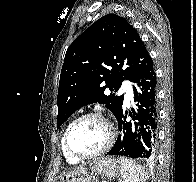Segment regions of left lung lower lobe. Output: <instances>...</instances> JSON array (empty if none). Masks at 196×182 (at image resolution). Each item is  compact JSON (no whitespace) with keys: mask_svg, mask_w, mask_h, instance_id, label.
I'll return each mask as SVG.
<instances>
[{"mask_svg":"<svg viewBox=\"0 0 196 182\" xmlns=\"http://www.w3.org/2000/svg\"><path fill=\"white\" fill-rule=\"evenodd\" d=\"M134 101L136 110L129 112L132 122H127V111L121 108L117 116L122 132L107 155L153 159L156 154L158 127V88L152 59L135 78Z\"/></svg>","mask_w":196,"mask_h":182,"instance_id":"left-lung-lower-lobe-1","label":"left lung lower lobe"}]
</instances>
